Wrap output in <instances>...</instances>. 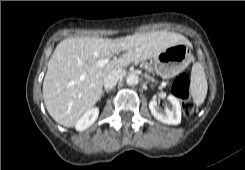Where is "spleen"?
I'll return each mask as SVG.
<instances>
[{
    "instance_id": "3e777b00",
    "label": "spleen",
    "mask_w": 245,
    "mask_h": 170,
    "mask_svg": "<svg viewBox=\"0 0 245 170\" xmlns=\"http://www.w3.org/2000/svg\"><path fill=\"white\" fill-rule=\"evenodd\" d=\"M208 85L204 68L201 63L196 62L191 70L190 93L196 106H200L207 95Z\"/></svg>"
}]
</instances>
